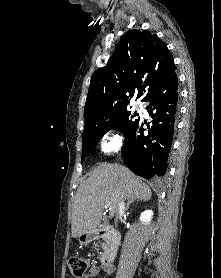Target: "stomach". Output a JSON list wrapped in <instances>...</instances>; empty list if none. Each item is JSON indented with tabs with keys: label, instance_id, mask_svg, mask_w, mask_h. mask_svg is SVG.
<instances>
[{
	"label": "stomach",
	"instance_id": "0dacf381",
	"mask_svg": "<svg viewBox=\"0 0 221 278\" xmlns=\"http://www.w3.org/2000/svg\"><path fill=\"white\" fill-rule=\"evenodd\" d=\"M81 239H82V235H81V236H79V240H80V242H82V243H83V242L86 240V239H82V240H81Z\"/></svg>",
	"mask_w": 221,
	"mask_h": 278
}]
</instances>
